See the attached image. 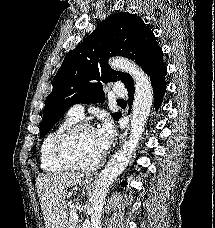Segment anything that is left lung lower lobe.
Instances as JSON below:
<instances>
[{
    "instance_id": "0a47b994",
    "label": "left lung lower lobe",
    "mask_w": 215,
    "mask_h": 228,
    "mask_svg": "<svg viewBox=\"0 0 215 228\" xmlns=\"http://www.w3.org/2000/svg\"><path fill=\"white\" fill-rule=\"evenodd\" d=\"M146 73L150 76L152 87L155 95V108L158 109L161 105L163 100V95L166 90V83H165V75H166V66L163 63V52L160 50L153 61L148 66ZM128 90L129 94V104L132 103L133 96H134V85H132ZM121 117V113L119 114L118 119ZM124 187L125 182L121 183Z\"/></svg>"
}]
</instances>
